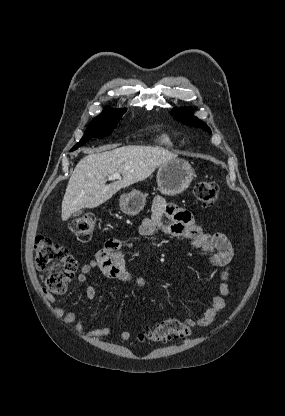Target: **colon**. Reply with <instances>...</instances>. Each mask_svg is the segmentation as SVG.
<instances>
[{
	"label": "colon",
	"instance_id": "5ec220e1",
	"mask_svg": "<svg viewBox=\"0 0 285 416\" xmlns=\"http://www.w3.org/2000/svg\"><path fill=\"white\" fill-rule=\"evenodd\" d=\"M195 198L204 205H214L218 198V186L214 181H200L193 190ZM96 226V217L86 214L72 220L70 231L81 242L92 238ZM36 266L45 273L46 288L55 294L66 291L68 283L77 270V261L68 250L44 236H38L35 241ZM190 327L177 319H166L157 327L139 335L141 340L152 342H168L174 339L188 337Z\"/></svg>",
	"mask_w": 285,
	"mask_h": 416
}]
</instances>
